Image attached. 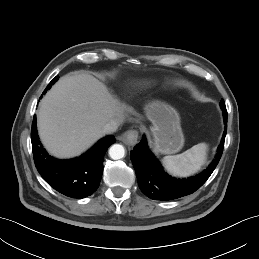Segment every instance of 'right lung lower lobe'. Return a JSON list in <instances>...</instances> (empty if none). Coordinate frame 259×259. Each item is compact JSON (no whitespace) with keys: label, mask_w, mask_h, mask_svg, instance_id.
I'll list each match as a JSON object with an SVG mask.
<instances>
[{"label":"right lung lower lobe","mask_w":259,"mask_h":259,"mask_svg":"<svg viewBox=\"0 0 259 259\" xmlns=\"http://www.w3.org/2000/svg\"><path fill=\"white\" fill-rule=\"evenodd\" d=\"M31 142L35 166L42 178L59 193L71 198H85L99 187L103 173V155L115 142L114 136L101 139L93 148L73 160H57L43 148L33 118Z\"/></svg>","instance_id":"obj_1"}]
</instances>
